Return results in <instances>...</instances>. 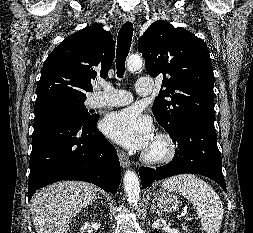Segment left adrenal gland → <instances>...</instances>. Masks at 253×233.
<instances>
[{
  "instance_id": "1",
  "label": "left adrenal gland",
  "mask_w": 253,
  "mask_h": 233,
  "mask_svg": "<svg viewBox=\"0 0 253 233\" xmlns=\"http://www.w3.org/2000/svg\"><path fill=\"white\" fill-rule=\"evenodd\" d=\"M151 211H152V212H156V213H158V214H161V212L157 210L156 205H155L154 202H153L152 205H151Z\"/></svg>"
}]
</instances>
